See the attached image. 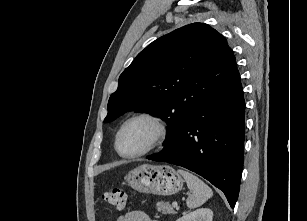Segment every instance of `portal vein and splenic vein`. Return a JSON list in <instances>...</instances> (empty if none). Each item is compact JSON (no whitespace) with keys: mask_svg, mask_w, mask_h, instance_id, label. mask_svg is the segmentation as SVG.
<instances>
[{"mask_svg":"<svg viewBox=\"0 0 307 221\" xmlns=\"http://www.w3.org/2000/svg\"><path fill=\"white\" fill-rule=\"evenodd\" d=\"M172 206H173L174 208H178L177 202H173V203H172Z\"/></svg>","mask_w":307,"mask_h":221,"instance_id":"1","label":"portal vein and splenic vein"}]
</instances>
